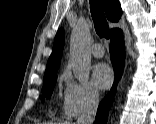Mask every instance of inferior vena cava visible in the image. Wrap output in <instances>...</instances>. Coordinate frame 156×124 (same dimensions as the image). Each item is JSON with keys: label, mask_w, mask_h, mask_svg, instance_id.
I'll use <instances>...</instances> for the list:
<instances>
[{"label": "inferior vena cava", "mask_w": 156, "mask_h": 124, "mask_svg": "<svg viewBox=\"0 0 156 124\" xmlns=\"http://www.w3.org/2000/svg\"><path fill=\"white\" fill-rule=\"evenodd\" d=\"M98 96L92 94L84 103L76 124H93L98 107Z\"/></svg>", "instance_id": "1"}]
</instances>
